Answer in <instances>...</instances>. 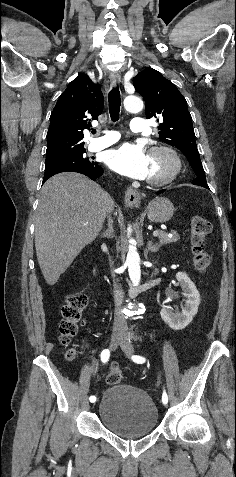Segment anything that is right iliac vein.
I'll list each match as a JSON object with an SVG mask.
<instances>
[{"label": "right iliac vein", "mask_w": 236, "mask_h": 477, "mask_svg": "<svg viewBox=\"0 0 236 477\" xmlns=\"http://www.w3.org/2000/svg\"><path fill=\"white\" fill-rule=\"evenodd\" d=\"M122 339H123L122 333H120V332L113 333V335L111 336L110 348L112 350H115L117 348V346L119 345V343L122 341ZM96 395L99 396V391L96 392ZM98 399L99 398L97 397V399H96L97 402L99 401ZM92 406L94 407L93 408V410H94L95 408L98 407V404L96 403L95 405H92Z\"/></svg>", "instance_id": "63e3f726"}]
</instances>
